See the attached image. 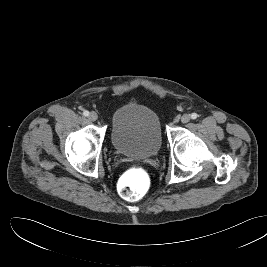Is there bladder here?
I'll list each match as a JSON object with an SVG mask.
<instances>
[{
    "instance_id": "bladder-1",
    "label": "bladder",
    "mask_w": 267,
    "mask_h": 267,
    "mask_svg": "<svg viewBox=\"0 0 267 267\" xmlns=\"http://www.w3.org/2000/svg\"><path fill=\"white\" fill-rule=\"evenodd\" d=\"M110 139L121 155L136 159L153 157L162 145L159 117L146 105L124 104L111 116Z\"/></svg>"
}]
</instances>
